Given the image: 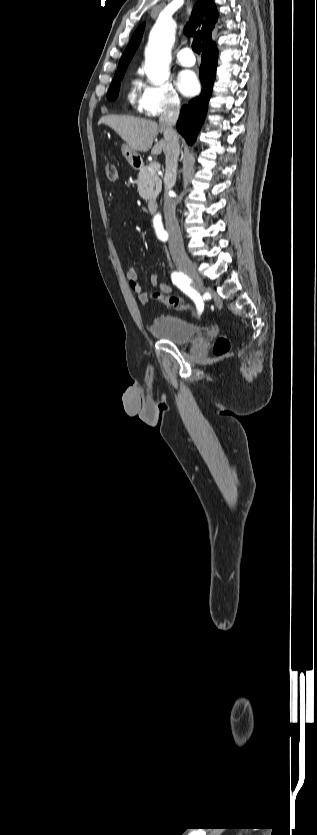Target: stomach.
I'll return each mask as SVG.
<instances>
[{"label":"stomach","mask_w":317,"mask_h":835,"mask_svg":"<svg viewBox=\"0 0 317 835\" xmlns=\"http://www.w3.org/2000/svg\"><path fill=\"white\" fill-rule=\"evenodd\" d=\"M121 150L125 159L132 166H134L136 163H140V161L142 160L141 156L136 151H134L128 144H123Z\"/></svg>","instance_id":"obj_1"}]
</instances>
